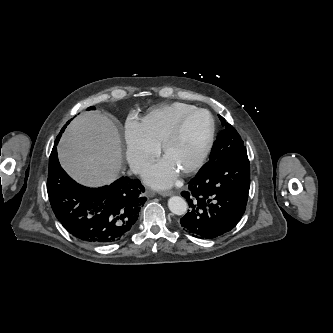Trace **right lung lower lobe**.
I'll use <instances>...</instances> for the list:
<instances>
[{"label":"right lung lower lobe","mask_w":333,"mask_h":333,"mask_svg":"<svg viewBox=\"0 0 333 333\" xmlns=\"http://www.w3.org/2000/svg\"><path fill=\"white\" fill-rule=\"evenodd\" d=\"M144 191L140 180L129 177L99 188L82 186L62 169L57 149H52L47 179L49 201L63 227L81 241L103 245L127 235L147 200Z\"/></svg>","instance_id":"right-lung-lower-lobe-1"}]
</instances>
